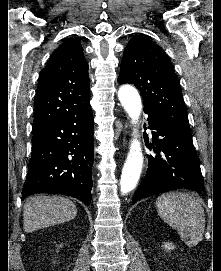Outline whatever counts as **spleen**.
<instances>
[{"label":"spleen","mask_w":221,"mask_h":271,"mask_svg":"<svg viewBox=\"0 0 221 271\" xmlns=\"http://www.w3.org/2000/svg\"><path fill=\"white\" fill-rule=\"evenodd\" d=\"M157 211L173 229L178 231L182 241L194 247L202 241L205 229L204 209L190 193H163L157 197Z\"/></svg>","instance_id":"spleen-1"}]
</instances>
